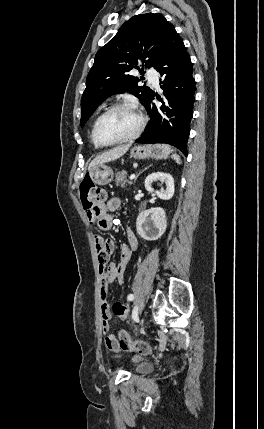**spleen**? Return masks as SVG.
<instances>
[{
  "label": "spleen",
  "instance_id": "3e777b00",
  "mask_svg": "<svg viewBox=\"0 0 264 429\" xmlns=\"http://www.w3.org/2000/svg\"><path fill=\"white\" fill-rule=\"evenodd\" d=\"M171 157H172V159H174L178 164H180V163H181L180 157H179V155H177L176 153H175V154H173Z\"/></svg>",
  "mask_w": 264,
  "mask_h": 429
}]
</instances>
